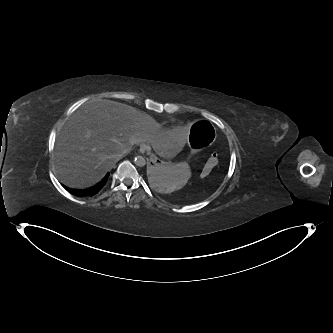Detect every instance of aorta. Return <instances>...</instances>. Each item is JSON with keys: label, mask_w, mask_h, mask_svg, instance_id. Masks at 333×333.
I'll use <instances>...</instances> for the list:
<instances>
[{"label": "aorta", "mask_w": 333, "mask_h": 333, "mask_svg": "<svg viewBox=\"0 0 333 333\" xmlns=\"http://www.w3.org/2000/svg\"><path fill=\"white\" fill-rule=\"evenodd\" d=\"M134 163L136 166L144 167L146 165V160L142 156H136L134 159Z\"/></svg>", "instance_id": "762f6f07"}]
</instances>
